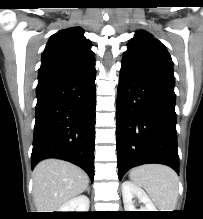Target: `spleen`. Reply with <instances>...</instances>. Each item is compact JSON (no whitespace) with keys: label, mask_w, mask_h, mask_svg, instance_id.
<instances>
[{"label":"spleen","mask_w":203,"mask_h":219,"mask_svg":"<svg viewBox=\"0 0 203 219\" xmlns=\"http://www.w3.org/2000/svg\"><path fill=\"white\" fill-rule=\"evenodd\" d=\"M130 179L143 187L159 211H173L178 199V176L168 166L147 164L133 168Z\"/></svg>","instance_id":"1"}]
</instances>
